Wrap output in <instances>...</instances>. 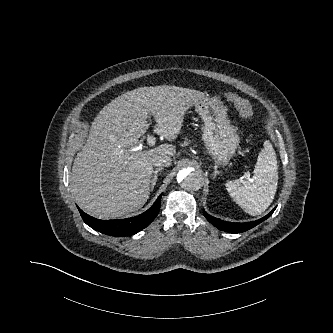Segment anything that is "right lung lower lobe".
I'll list each match as a JSON object with an SVG mask.
<instances>
[{
  "label": "right lung lower lobe",
  "instance_id": "98d812e1",
  "mask_svg": "<svg viewBox=\"0 0 333 333\" xmlns=\"http://www.w3.org/2000/svg\"><path fill=\"white\" fill-rule=\"evenodd\" d=\"M161 197L162 194L146 212L128 219L100 220L78 209L84 222L92 229L111 236H129L138 233L155 219L160 210Z\"/></svg>",
  "mask_w": 333,
  "mask_h": 333
}]
</instances>
